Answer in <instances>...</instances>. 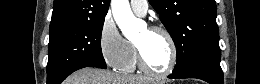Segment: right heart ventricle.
Instances as JSON below:
<instances>
[{"mask_svg": "<svg viewBox=\"0 0 260 84\" xmlns=\"http://www.w3.org/2000/svg\"><path fill=\"white\" fill-rule=\"evenodd\" d=\"M128 52L119 70L125 73L134 72L138 68L134 44L127 41Z\"/></svg>", "mask_w": 260, "mask_h": 84, "instance_id": "e07e8e85", "label": "right heart ventricle"}]
</instances>
